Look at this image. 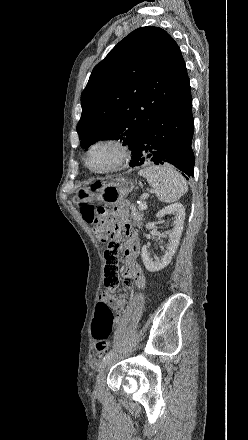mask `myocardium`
I'll list each match as a JSON object with an SVG mask.
<instances>
[{"label":"myocardium","instance_id":"obj_1","mask_svg":"<svg viewBox=\"0 0 248 440\" xmlns=\"http://www.w3.org/2000/svg\"><path fill=\"white\" fill-rule=\"evenodd\" d=\"M101 147L112 148L115 152V159L113 160L112 163H110L108 166L104 168H93L89 164V158L96 149ZM129 157H130L129 148L123 141L116 138H103L95 141L87 149L84 155V164L86 168L94 174H109L123 169L127 164Z\"/></svg>","mask_w":248,"mask_h":440}]
</instances>
